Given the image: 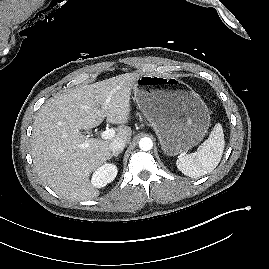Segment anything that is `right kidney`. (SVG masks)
I'll list each match as a JSON object with an SVG mask.
<instances>
[{
    "mask_svg": "<svg viewBox=\"0 0 269 269\" xmlns=\"http://www.w3.org/2000/svg\"><path fill=\"white\" fill-rule=\"evenodd\" d=\"M117 172L116 165L111 163L104 164L94 172L91 184L96 188H102L115 179Z\"/></svg>",
    "mask_w": 269,
    "mask_h": 269,
    "instance_id": "right-kidney-1",
    "label": "right kidney"
}]
</instances>
